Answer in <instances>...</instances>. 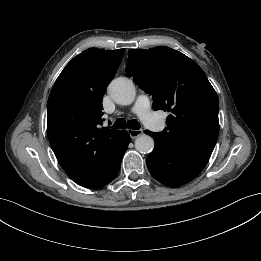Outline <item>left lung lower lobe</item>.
Masks as SVG:
<instances>
[{
	"mask_svg": "<svg viewBox=\"0 0 261 261\" xmlns=\"http://www.w3.org/2000/svg\"><path fill=\"white\" fill-rule=\"evenodd\" d=\"M145 133L155 141L154 150L146 159L149 171L156 180L169 187L184 185L197 177L212 154L211 151L180 148L154 132Z\"/></svg>",
	"mask_w": 261,
	"mask_h": 261,
	"instance_id": "obj_1",
	"label": "left lung lower lobe"
}]
</instances>
